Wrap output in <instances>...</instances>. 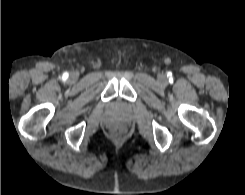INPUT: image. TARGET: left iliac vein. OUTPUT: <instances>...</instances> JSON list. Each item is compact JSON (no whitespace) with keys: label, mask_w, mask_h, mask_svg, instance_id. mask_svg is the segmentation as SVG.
I'll return each instance as SVG.
<instances>
[{"label":"left iliac vein","mask_w":245,"mask_h":195,"mask_svg":"<svg viewBox=\"0 0 245 195\" xmlns=\"http://www.w3.org/2000/svg\"><path fill=\"white\" fill-rule=\"evenodd\" d=\"M159 79H160V81H162V82H166V76L163 75V74L159 76Z\"/></svg>","instance_id":"4c4485c4"}]
</instances>
